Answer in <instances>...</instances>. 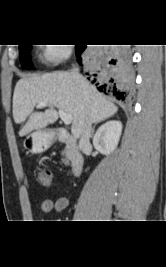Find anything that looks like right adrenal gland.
I'll return each instance as SVG.
<instances>
[{
  "label": "right adrenal gland",
  "mask_w": 166,
  "mask_h": 267,
  "mask_svg": "<svg viewBox=\"0 0 166 267\" xmlns=\"http://www.w3.org/2000/svg\"><path fill=\"white\" fill-rule=\"evenodd\" d=\"M97 124H98V123H96L95 126H96ZM95 126H94L93 129H92V134L94 133Z\"/></svg>",
  "instance_id": "2a0ac1e0"
}]
</instances>
